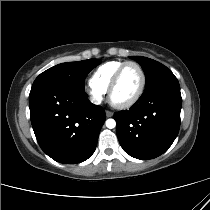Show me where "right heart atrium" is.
<instances>
[{
    "label": "right heart atrium",
    "instance_id": "d8ad5b80",
    "mask_svg": "<svg viewBox=\"0 0 210 210\" xmlns=\"http://www.w3.org/2000/svg\"><path fill=\"white\" fill-rule=\"evenodd\" d=\"M85 92L96 103L101 102L104 96V92L94 87L91 83L85 86Z\"/></svg>",
    "mask_w": 210,
    "mask_h": 210
}]
</instances>
